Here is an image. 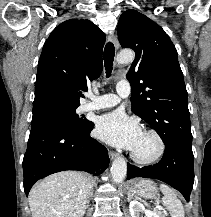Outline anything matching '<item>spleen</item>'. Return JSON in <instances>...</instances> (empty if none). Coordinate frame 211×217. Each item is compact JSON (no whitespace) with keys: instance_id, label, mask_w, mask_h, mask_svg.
Masks as SVG:
<instances>
[{"instance_id":"spleen-1","label":"spleen","mask_w":211,"mask_h":217,"mask_svg":"<svg viewBox=\"0 0 211 217\" xmlns=\"http://www.w3.org/2000/svg\"><path fill=\"white\" fill-rule=\"evenodd\" d=\"M160 189L163 193V205L170 211L171 217H184V207L174 191L166 184H161Z\"/></svg>"}]
</instances>
